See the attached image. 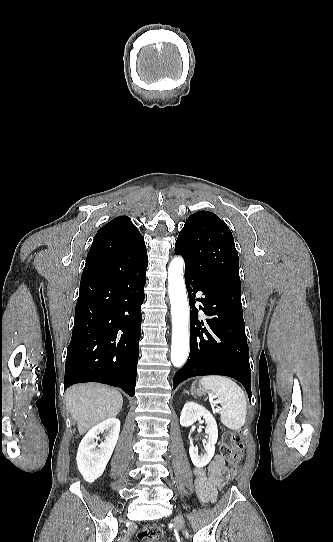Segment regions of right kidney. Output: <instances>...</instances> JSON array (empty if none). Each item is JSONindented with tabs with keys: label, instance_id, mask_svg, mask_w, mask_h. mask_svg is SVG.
I'll use <instances>...</instances> for the list:
<instances>
[{
	"label": "right kidney",
	"instance_id": "right-kidney-1",
	"mask_svg": "<svg viewBox=\"0 0 333 542\" xmlns=\"http://www.w3.org/2000/svg\"><path fill=\"white\" fill-rule=\"evenodd\" d=\"M119 432V420L117 418H108V420H104L101 424L91 428L81 440L76 462L85 482L92 484L102 476L117 444ZM99 434L105 436V440L101 444H97Z\"/></svg>",
	"mask_w": 333,
	"mask_h": 542
}]
</instances>
